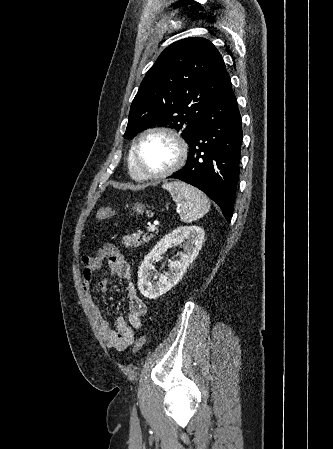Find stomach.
<instances>
[{
    "label": "stomach",
    "instance_id": "0dacf381",
    "mask_svg": "<svg viewBox=\"0 0 333 449\" xmlns=\"http://www.w3.org/2000/svg\"><path fill=\"white\" fill-rule=\"evenodd\" d=\"M144 209H145L144 205H142V204H140V203H137V204H135V206H134V210H135L138 214H143Z\"/></svg>",
    "mask_w": 333,
    "mask_h": 449
}]
</instances>
